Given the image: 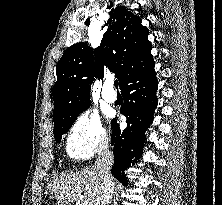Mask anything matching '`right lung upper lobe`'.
Returning a JSON list of instances; mask_svg holds the SVG:
<instances>
[{"instance_id": "cb5924a9", "label": "right lung upper lobe", "mask_w": 222, "mask_h": 205, "mask_svg": "<svg viewBox=\"0 0 222 205\" xmlns=\"http://www.w3.org/2000/svg\"><path fill=\"white\" fill-rule=\"evenodd\" d=\"M106 25L101 44L94 50L95 57L85 42L69 47L59 60L52 91L53 121L75 115L90 105L91 84L94 78L104 76L105 68L116 73L121 88L154 66L152 45L147 39L149 30L141 25L140 16L125 6H117L111 10Z\"/></svg>"}]
</instances>
